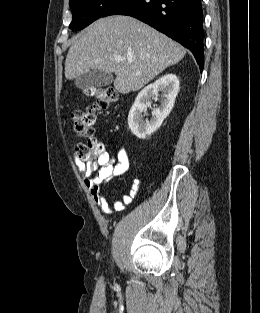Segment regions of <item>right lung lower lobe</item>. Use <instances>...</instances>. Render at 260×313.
<instances>
[{
    "label": "right lung lower lobe",
    "instance_id": "obj_1",
    "mask_svg": "<svg viewBox=\"0 0 260 313\" xmlns=\"http://www.w3.org/2000/svg\"><path fill=\"white\" fill-rule=\"evenodd\" d=\"M135 17L188 48L204 67L201 0H119L105 14Z\"/></svg>",
    "mask_w": 260,
    "mask_h": 313
}]
</instances>
